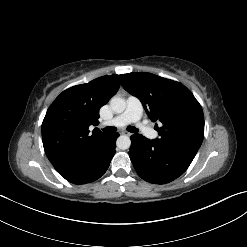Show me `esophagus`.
<instances>
[{
	"label": "esophagus",
	"mask_w": 247,
	"mask_h": 247,
	"mask_svg": "<svg viewBox=\"0 0 247 247\" xmlns=\"http://www.w3.org/2000/svg\"><path fill=\"white\" fill-rule=\"evenodd\" d=\"M121 134L127 135V136H131L132 135L130 132H127V131H121Z\"/></svg>",
	"instance_id": "esophagus-1"
}]
</instances>
